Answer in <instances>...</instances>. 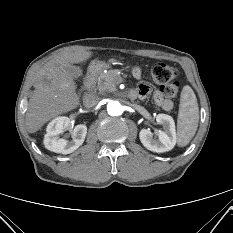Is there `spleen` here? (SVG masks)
<instances>
[{
	"label": "spleen",
	"instance_id": "3e777b00",
	"mask_svg": "<svg viewBox=\"0 0 233 233\" xmlns=\"http://www.w3.org/2000/svg\"><path fill=\"white\" fill-rule=\"evenodd\" d=\"M199 122V107L194 91L188 85L184 86L180 96V106L177 119V144L186 146L194 137Z\"/></svg>",
	"mask_w": 233,
	"mask_h": 233
}]
</instances>
